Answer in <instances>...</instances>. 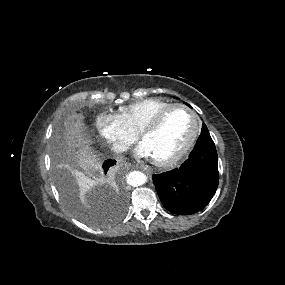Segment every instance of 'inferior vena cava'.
I'll list each match as a JSON object with an SVG mask.
<instances>
[{"instance_id": "obj_1", "label": "inferior vena cava", "mask_w": 285, "mask_h": 285, "mask_svg": "<svg viewBox=\"0 0 285 285\" xmlns=\"http://www.w3.org/2000/svg\"><path fill=\"white\" fill-rule=\"evenodd\" d=\"M111 150L115 153H123L127 151V146L119 142H114L111 146Z\"/></svg>"}]
</instances>
